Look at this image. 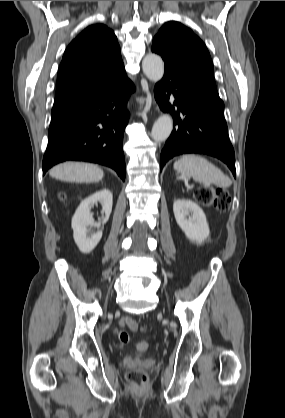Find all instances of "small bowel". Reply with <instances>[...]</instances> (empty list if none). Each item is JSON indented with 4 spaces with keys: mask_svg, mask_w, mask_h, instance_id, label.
Wrapping results in <instances>:
<instances>
[{
    "mask_svg": "<svg viewBox=\"0 0 285 418\" xmlns=\"http://www.w3.org/2000/svg\"><path fill=\"white\" fill-rule=\"evenodd\" d=\"M124 324H126L132 330L137 329V324L130 318H126L124 320Z\"/></svg>",
    "mask_w": 285,
    "mask_h": 418,
    "instance_id": "c3829d8e",
    "label": "small bowel"
}]
</instances>
